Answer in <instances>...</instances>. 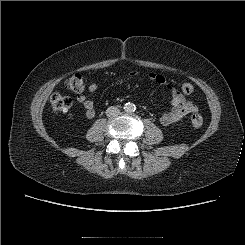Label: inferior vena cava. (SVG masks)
I'll return each mask as SVG.
<instances>
[{"label": "inferior vena cava", "instance_id": "602c4592", "mask_svg": "<svg viewBox=\"0 0 245 245\" xmlns=\"http://www.w3.org/2000/svg\"><path fill=\"white\" fill-rule=\"evenodd\" d=\"M119 113H120V110H119L117 107H115V106H110V107H108L107 110H106V115H107L108 117L115 116V115H117V114H119Z\"/></svg>", "mask_w": 245, "mask_h": 245}]
</instances>
